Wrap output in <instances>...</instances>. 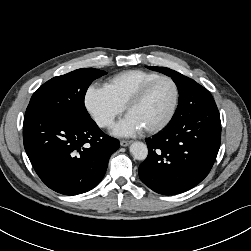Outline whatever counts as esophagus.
<instances>
[{"label": "esophagus", "mask_w": 251, "mask_h": 251, "mask_svg": "<svg viewBox=\"0 0 251 251\" xmlns=\"http://www.w3.org/2000/svg\"><path fill=\"white\" fill-rule=\"evenodd\" d=\"M120 144H121V146L126 147V146H128V145L131 144V141H129V140H122L120 142Z\"/></svg>", "instance_id": "esophagus-1"}]
</instances>
